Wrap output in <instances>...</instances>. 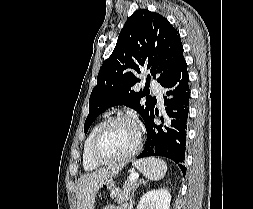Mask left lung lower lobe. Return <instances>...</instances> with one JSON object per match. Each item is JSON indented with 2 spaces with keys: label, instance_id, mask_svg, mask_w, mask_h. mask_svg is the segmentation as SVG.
<instances>
[{
  "label": "left lung lower lobe",
  "instance_id": "obj_1",
  "mask_svg": "<svg viewBox=\"0 0 253 209\" xmlns=\"http://www.w3.org/2000/svg\"><path fill=\"white\" fill-rule=\"evenodd\" d=\"M189 75L185 59H182L172 73L161 84L165 88L164 105L166 119L162 124L154 121L158 111L146 124L147 140L145 148L137 158L163 156L178 164L185 175V149L187 138V120L189 113Z\"/></svg>",
  "mask_w": 253,
  "mask_h": 209
}]
</instances>
